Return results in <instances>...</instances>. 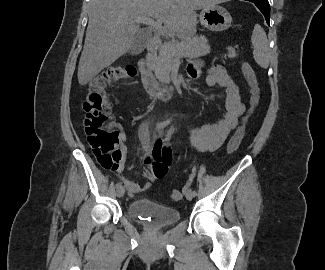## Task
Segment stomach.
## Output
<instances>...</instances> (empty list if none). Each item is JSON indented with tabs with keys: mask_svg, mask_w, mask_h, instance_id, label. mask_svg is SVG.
I'll list each match as a JSON object with an SVG mask.
<instances>
[{
	"mask_svg": "<svg viewBox=\"0 0 325 270\" xmlns=\"http://www.w3.org/2000/svg\"><path fill=\"white\" fill-rule=\"evenodd\" d=\"M201 24L211 31H222L230 27L232 17L226 9L220 6H206L200 15Z\"/></svg>",
	"mask_w": 325,
	"mask_h": 270,
	"instance_id": "obj_1",
	"label": "stomach"
}]
</instances>
